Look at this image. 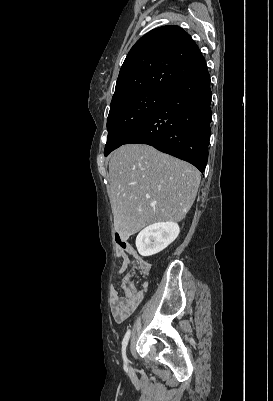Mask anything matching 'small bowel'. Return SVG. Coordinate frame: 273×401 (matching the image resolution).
I'll return each instance as SVG.
<instances>
[{"label": "small bowel", "instance_id": "c3829d8e", "mask_svg": "<svg viewBox=\"0 0 273 401\" xmlns=\"http://www.w3.org/2000/svg\"><path fill=\"white\" fill-rule=\"evenodd\" d=\"M119 245H125L126 251L129 252L130 257L128 260H119L114 267V273L120 274L126 270L122 269L123 261H134L135 266L137 261H145L142 257L136 254L135 250L130 244L121 242ZM127 278H132L131 275L127 274ZM145 284V290L148 288V284ZM111 312L113 319L116 323L125 322L138 308L140 304L144 303V297H147V292L139 290L138 284H124L123 290H117L115 287L111 288ZM126 293H128V298L126 303Z\"/></svg>", "mask_w": 273, "mask_h": 401}]
</instances>
